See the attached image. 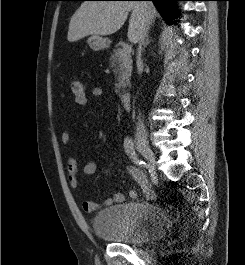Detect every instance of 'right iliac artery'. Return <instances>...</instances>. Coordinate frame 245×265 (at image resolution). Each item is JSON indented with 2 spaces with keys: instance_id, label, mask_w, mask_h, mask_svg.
<instances>
[{
  "instance_id": "82829eb1",
  "label": "right iliac artery",
  "mask_w": 245,
  "mask_h": 265,
  "mask_svg": "<svg viewBox=\"0 0 245 265\" xmlns=\"http://www.w3.org/2000/svg\"><path fill=\"white\" fill-rule=\"evenodd\" d=\"M124 148L127 155L133 160V162L141 167H145V163L140 160L135 152L133 140L130 137L124 139Z\"/></svg>"
}]
</instances>
